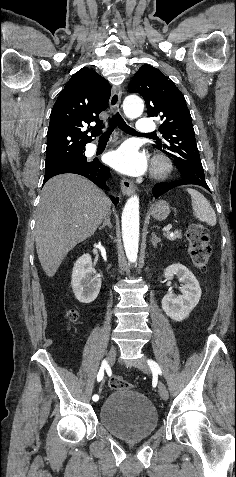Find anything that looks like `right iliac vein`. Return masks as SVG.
<instances>
[{
	"instance_id": "1",
	"label": "right iliac vein",
	"mask_w": 236,
	"mask_h": 477,
	"mask_svg": "<svg viewBox=\"0 0 236 477\" xmlns=\"http://www.w3.org/2000/svg\"><path fill=\"white\" fill-rule=\"evenodd\" d=\"M115 357H116V347L114 345H112L109 349V352H108V364L109 365H112V363L114 362L115 360ZM105 385L103 384H100L97 386V391H98V396L100 397V399L102 400L103 398L101 397V390L102 389H105Z\"/></svg>"
}]
</instances>
